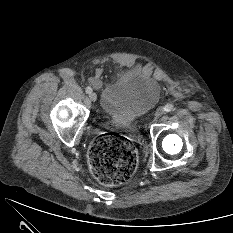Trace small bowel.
Wrapping results in <instances>:
<instances>
[{"mask_svg":"<svg viewBox=\"0 0 233 233\" xmlns=\"http://www.w3.org/2000/svg\"><path fill=\"white\" fill-rule=\"evenodd\" d=\"M91 82L93 85L97 87L99 85L100 80L97 77H94L91 79Z\"/></svg>","mask_w":233,"mask_h":233,"instance_id":"c3829d8e","label":"small bowel"}]
</instances>
